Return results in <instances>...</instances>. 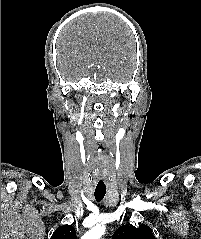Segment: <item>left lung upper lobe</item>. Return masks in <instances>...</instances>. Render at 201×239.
I'll return each instance as SVG.
<instances>
[{"mask_svg":"<svg viewBox=\"0 0 201 239\" xmlns=\"http://www.w3.org/2000/svg\"><path fill=\"white\" fill-rule=\"evenodd\" d=\"M113 239H157L147 225H140L138 228L132 225H122L112 236Z\"/></svg>","mask_w":201,"mask_h":239,"instance_id":"1","label":"left lung upper lobe"}]
</instances>
